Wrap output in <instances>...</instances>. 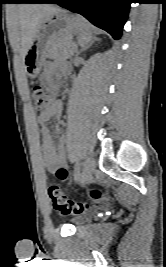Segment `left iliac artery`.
Returning a JSON list of instances; mask_svg holds the SVG:
<instances>
[{
  "label": "left iliac artery",
  "instance_id": "obj_1",
  "mask_svg": "<svg viewBox=\"0 0 166 267\" xmlns=\"http://www.w3.org/2000/svg\"><path fill=\"white\" fill-rule=\"evenodd\" d=\"M80 177V163L77 162L74 167V179L78 180Z\"/></svg>",
  "mask_w": 166,
  "mask_h": 267
}]
</instances>
